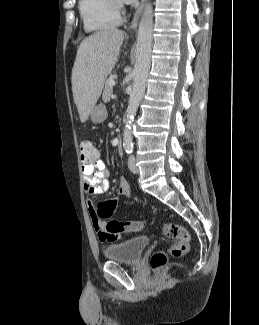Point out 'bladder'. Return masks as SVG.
Listing matches in <instances>:
<instances>
[{
    "label": "bladder",
    "instance_id": "obj_1",
    "mask_svg": "<svg viewBox=\"0 0 259 325\" xmlns=\"http://www.w3.org/2000/svg\"><path fill=\"white\" fill-rule=\"evenodd\" d=\"M149 243L150 240L147 237H135L125 242L109 245L103 253L108 260L136 264Z\"/></svg>",
    "mask_w": 259,
    "mask_h": 325
}]
</instances>
